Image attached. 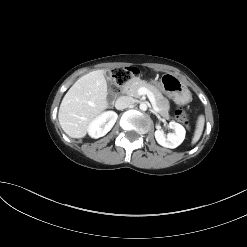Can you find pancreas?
I'll return each instance as SVG.
<instances>
[{"label":"pancreas","instance_id":"pancreas-1","mask_svg":"<svg viewBox=\"0 0 247 247\" xmlns=\"http://www.w3.org/2000/svg\"><path fill=\"white\" fill-rule=\"evenodd\" d=\"M141 87L147 88L154 94L156 106L158 108V113L164 118L169 119V101L163 97L161 92L153 84L147 83L146 81L141 80L139 78H132L122 86V92L127 95L138 98L140 97L138 90Z\"/></svg>","mask_w":247,"mask_h":247}]
</instances>
